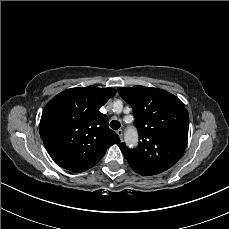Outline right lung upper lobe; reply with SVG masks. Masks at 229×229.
I'll list each match as a JSON object with an SVG mask.
<instances>
[{"mask_svg": "<svg viewBox=\"0 0 229 229\" xmlns=\"http://www.w3.org/2000/svg\"><path fill=\"white\" fill-rule=\"evenodd\" d=\"M115 93L114 88H71L47 103L40 136L56 164L72 172L86 171L120 142L109 129L107 116L99 111Z\"/></svg>", "mask_w": 229, "mask_h": 229, "instance_id": "1", "label": "right lung upper lobe"}]
</instances>
